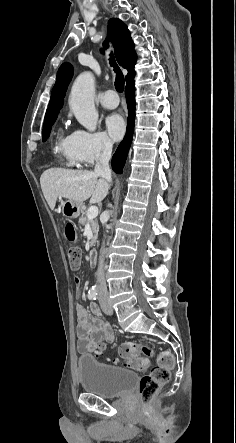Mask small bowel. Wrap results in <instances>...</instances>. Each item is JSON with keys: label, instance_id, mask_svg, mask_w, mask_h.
<instances>
[{"label": "small bowel", "instance_id": "small-bowel-1", "mask_svg": "<svg viewBox=\"0 0 236 443\" xmlns=\"http://www.w3.org/2000/svg\"><path fill=\"white\" fill-rule=\"evenodd\" d=\"M77 285L76 295H80L78 286L80 279L75 278ZM77 316V349L81 353L89 352L100 341L111 343L114 341V334L109 325L102 319L100 310L96 304L85 307L81 304L76 306Z\"/></svg>", "mask_w": 236, "mask_h": 443}]
</instances>
